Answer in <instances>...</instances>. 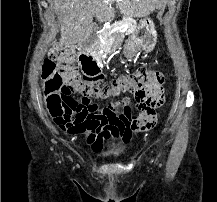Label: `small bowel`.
<instances>
[{
    "mask_svg": "<svg viewBox=\"0 0 217 202\" xmlns=\"http://www.w3.org/2000/svg\"><path fill=\"white\" fill-rule=\"evenodd\" d=\"M73 82L77 84V88H84V90H95L92 94V98L95 99H105L109 96L113 95L115 97L121 96L124 92L120 90H113L105 87V85H87L80 83L78 79H76V75L72 76ZM129 101V100H128ZM123 107H130L131 104H122ZM144 110L141 108L139 114L137 116H153L154 114H144ZM132 131H126L120 135H113L115 138L119 139L123 144H129L132 140ZM107 131H91L90 141H112V136H107ZM87 147H100V142H87Z\"/></svg>",
    "mask_w": 217,
    "mask_h": 202,
    "instance_id": "c3829d8e",
    "label": "small bowel"
}]
</instances>
